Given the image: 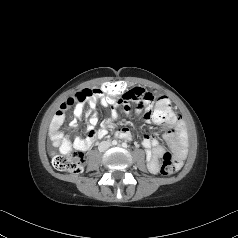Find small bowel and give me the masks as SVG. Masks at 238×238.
I'll return each instance as SVG.
<instances>
[{
  "label": "small bowel",
  "instance_id": "small-bowel-1",
  "mask_svg": "<svg viewBox=\"0 0 238 238\" xmlns=\"http://www.w3.org/2000/svg\"><path fill=\"white\" fill-rule=\"evenodd\" d=\"M68 98L65 100L60 108L56 111L51 124H50V137L52 143L55 147L59 148V151L62 154H67L71 151L72 148H75L79 151H87L94 143L96 139H101L107 134V128L112 125V121L116 120L119 116L118 107L121 105L123 111L126 114L130 113V103L135 102L139 110L145 114L146 118H150L148 116V111L150 105L154 102L155 97L145 89L135 86L128 89L120 102L118 103H107L106 97L104 96H93L89 101L90 109L93 110L89 113L87 125H86V137L84 139L75 138L70 140L68 137L64 136L60 131V128L65 119V111L74 105L73 114L74 119L71 121L70 126L75 128L77 126V122L82 118L84 113V102H73L72 104H68ZM98 104L102 106L112 108L111 110V119L104 122L103 128L96 129V125L98 123V113L95 111ZM157 123L158 122L155 120ZM117 136L130 140L132 138V134L128 128H119L117 130ZM164 138L170 144L172 151L178 160H181L185 157L186 154V146H187V132L185 125L181 118L175 114L174 117L166 122L164 127ZM142 145L146 149V158L148 169L156 173L158 171V160L164 154L165 148L158 142V140L150 135H144L142 139Z\"/></svg>",
  "mask_w": 238,
  "mask_h": 238
}]
</instances>
